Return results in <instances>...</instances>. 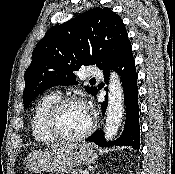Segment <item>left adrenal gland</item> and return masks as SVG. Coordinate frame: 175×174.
I'll return each instance as SVG.
<instances>
[{"mask_svg": "<svg viewBox=\"0 0 175 174\" xmlns=\"http://www.w3.org/2000/svg\"><path fill=\"white\" fill-rule=\"evenodd\" d=\"M96 169H97V166H95V168L93 169L92 174H95Z\"/></svg>", "mask_w": 175, "mask_h": 174, "instance_id": "left-adrenal-gland-1", "label": "left adrenal gland"}]
</instances>
